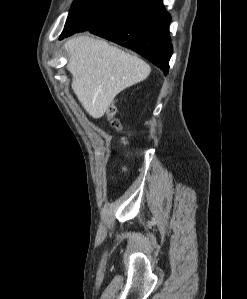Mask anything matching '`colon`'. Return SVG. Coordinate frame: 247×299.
Masks as SVG:
<instances>
[{"mask_svg": "<svg viewBox=\"0 0 247 299\" xmlns=\"http://www.w3.org/2000/svg\"><path fill=\"white\" fill-rule=\"evenodd\" d=\"M106 115L109 119L110 122V126L114 129V130H119L120 129V124L117 120L114 119V115H115V106L113 104H111L106 112Z\"/></svg>", "mask_w": 247, "mask_h": 299, "instance_id": "5ec220e1", "label": "colon"}]
</instances>
